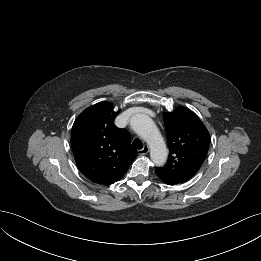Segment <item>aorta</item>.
<instances>
[{
	"mask_svg": "<svg viewBox=\"0 0 261 261\" xmlns=\"http://www.w3.org/2000/svg\"><path fill=\"white\" fill-rule=\"evenodd\" d=\"M130 125L137 135L144 139L150 147V157L155 165L162 166L167 160L165 141L154 121L145 114H136Z\"/></svg>",
	"mask_w": 261,
	"mask_h": 261,
	"instance_id": "1",
	"label": "aorta"
}]
</instances>
